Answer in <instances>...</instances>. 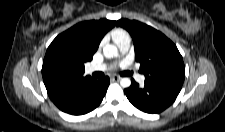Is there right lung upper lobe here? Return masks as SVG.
Instances as JSON below:
<instances>
[{
	"label": "right lung upper lobe",
	"instance_id": "1",
	"mask_svg": "<svg viewBox=\"0 0 225 132\" xmlns=\"http://www.w3.org/2000/svg\"><path fill=\"white\" fill-rule=\"evenodd\" d=\"M115 21L91 20L76 24L58 35L50 44L42 66V76L50 98L87 80L84 64L92 60L103 36Z\"/></svg>",
	"mask_w": 225,
	"mask_h": 132
}]
</instances>
